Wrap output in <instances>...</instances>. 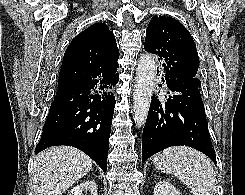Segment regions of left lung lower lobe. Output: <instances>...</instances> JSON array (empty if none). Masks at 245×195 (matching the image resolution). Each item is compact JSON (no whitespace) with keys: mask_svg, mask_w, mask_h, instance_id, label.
<instances>
[{"mask_svg":"<svg viewBox=\"0 0 245 195\" xmlns=\"http://www.w3.org/2000/svg\"><path fill=\"white\" fill-rule=\"evenodd\" d=\"M161 79L166 80L167 87L176 95L169 96L166 102L153 95L143 130L142 162L165 148L185 145L203 152L216 163L199 87L167 76Z\"/></svg>","mask_w":245,"mask_h":195,"instance_id":"0a47b994","label":"left lung lower lobe"}]
</instances>
